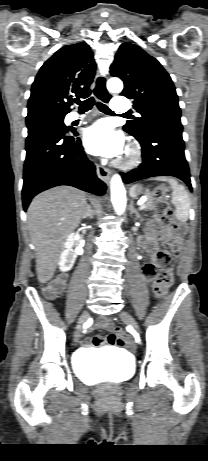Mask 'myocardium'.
Returning a JSON list of instances; mask_svg holds the SVG:
<instances>
[{
  "label": "myocardium",
  "instance_id": "1",
  "mask_svg": "<svg viewBox=\"0 0 208 461\" xmlns=\"http://www.w3.org/2000/svg\"><path fill=\"white\" fill-rule=\"evenodd\" d=\"M140 160V150L135 145H129L125 154L116 163L120 168L130 169L138 164Z\"/></svg>",
  "mask_w": 208,
  "mask_h": 461
}]
</instances>
